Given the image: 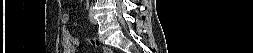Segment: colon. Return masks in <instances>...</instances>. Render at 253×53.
<instances>
[{
    "mask_svg": "<svg viewBox=\"0 0 253 53\" xmlns=\"http://www.w3.org/2000/svg\"><path fill=\"white\" fill-rule=\"evenodd\" d=\"M89 43H90V45L93 46V47H101V46H102L101 42H100L98 39H96V38L90 39V40H89ZM104 50H105V52H107V53H110V52H111L110 49H108V48H104Z\"/></svg>",
    "mask_w": 253,
    "mask_h": 53,
    "instance_id": "5ec220e1",
    "label": "colon"
}]
</instances>
